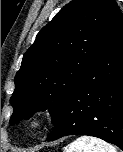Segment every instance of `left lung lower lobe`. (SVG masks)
Masks as SVG:
<instances>
[{
    "mask_svg": "<svg viewBox=\"0 0 123 152\" xmlns=\"http://www.w3.org/2000/svg\"><path fill=\"white\" fill-rule=\"evenodd\" d=\"M98 137L123 150V15L64 99L46 141Z\"/></svg>",
    "mask_w": 123,
    "mask_h": 152,
    "instance_id": "left-lung-lower-lobe-1",
    "label": "left lung lower lobe"
}]
</instances>
